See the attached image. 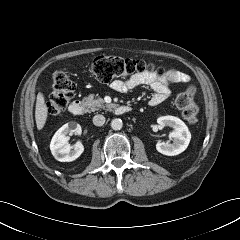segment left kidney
<instances>
[{
    "mask_svg": "<svg viewBox=\"0 0 240 240\" xmlns=\"http://www.w3.org/2000/svg\"><path fill=\"white\" fill-rule=\"evenodd\" d=\"M157 123L161 127H172L173 131L170 133V137L174 139L173 143L157 142L156 149L158 152L167 156H175L186 150L191 140V133L182 120L175 116L167 115L159 117Z\"/></svg>",
    "mask_w": 240,
    "mask_h": 240,
    "instance_id": "left-kidney-1",
    "label": "left kidney"
}]
</instances>
